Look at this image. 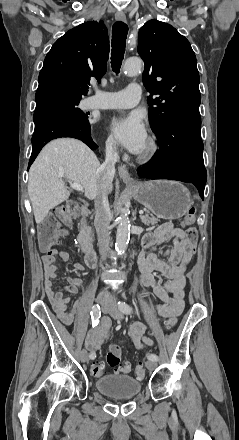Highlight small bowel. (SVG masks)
Returning <instances> with one entry per match:
<instances>
[{
	"label": "small bowel",
	"instance_id": "obj_1",
	"mask_svg": "<svg viewBox=\"0 0 239 440\" xmlns=\"http://www.w3.org/2000/svg\"><path fill=\"white\" fill-rule=\"evenodd\" d=\"M171 242L172 245L164 252L166 260L160 258L155 250L164 243ZM144 250L139 256L140 280L145 287L152 288L154 294L162 301L156 305L158 314L162 317H176L184 309V291L186 286V271L194 255L195 245H192L186 233L170 223L163 224L153 232L146 234L142 239ZM57 259L68 261L70 255L65 250L50 248L43 249L42 261L44 265V286L52 306L60 318L66 324L71 325L76 306L67 310L68 298L64 297L63 291H56L53 280L58 277L59 269L56 265ZM77 271H83L84 266L79 261L74 262ZM154 272H160L165 280H159ZM68 285L64 290L69 293H76L82 288V282L78 278H67ZM146 294V292H145ZM98 325L91 328L85 339V346L91 352L100 349L104 340L111 330V320L108 317L99 319ZM147 331L143 323H133L129 327V337L132 344L142 349L152 345V341L145 336Z\"/></svg>",
	"mask_w": 239,
	"mask_h": 440
}]
</instances>
